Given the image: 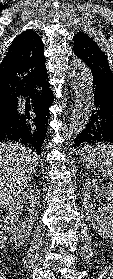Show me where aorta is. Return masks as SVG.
Masks as SVG:
<instances>
[{
	"instance_id": "1",
	"label": "aorta",
	"mask_w": 113,
	"mask_h": 279,
	"mask_svg": "<svg viewBox=\"0 0 113 279\" xmlns=\"http://www.w3.org/2000/svg\"><path fill=\"white\" fill-rule=\"evenodd\" d=\"M69 76L75 94V107L63 131L66 139L75 138L84 130L94 106L93 78L89 67L81 59H74L70 65Z\"/></svg>"
}]
</instances>
